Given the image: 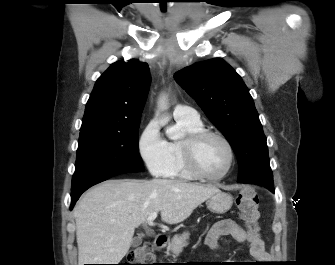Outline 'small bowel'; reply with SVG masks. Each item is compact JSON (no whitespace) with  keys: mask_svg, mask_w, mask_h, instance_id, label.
<instances>
[{"mask_svg":"<svg viewBox=\"0 0 335 265\" xmlns=\"http://www.w3.org/2000/svg\"><path fill=\"white\" fill-rule=\"evenodd\" d=\"M231 236L237 243H248L250 255L257 261H265L267 252L258 231L245 230L235 221L224 219L215 223L209 230L205 244L213 250L220 249L219 240Z\"/></svg>","mask_w":335,"mask_h":265,"instance_id":"1","label":"small bowel"}]
</instances>
